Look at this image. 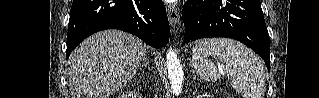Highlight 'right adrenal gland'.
<instances>
[{
	"instance_id": "2a0ac1e0",
	"label": "right adrenal gland",
	"mask_w": 319,
	"mask_h": 98,
	"mask_svg": "<svg viewBox=\"0 0 319 98\" xmlns=\"http://www.w3.org/2000/svg\"><path fill=\"white\" fill-rule=\"evenodd\" d=\"M143 64H142V66L140 67V69H142L143 67H146V68H149V66H148V64H149V62H148V59H147V55L145 54L144 55V57H143Z\"/></svg>"
}]
</instances>
